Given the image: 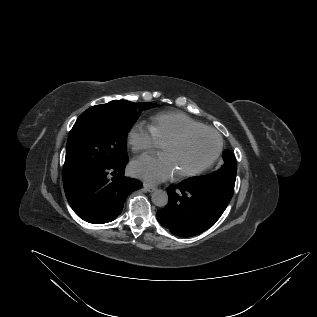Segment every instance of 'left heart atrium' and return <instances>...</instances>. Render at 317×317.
I'll return each instance as SVG.
<instances>
[{
  "label": "left heart atrium",
  "mask_w": 317,
  "mask_h": 317,
  "mask_svg": "<svg viewBox=\"0 0 317 317\" xmlns=\"http://www.w3.org/2000/svg\"><path fill=\"white\" fill-rule=\"evenodd\" d=\"M131 173L150 182H160L172 177L176 171L164 153L144 155L131 164Z\"/></svg>",
  "instance_id": "39dd6f15"
}]
</instances>
